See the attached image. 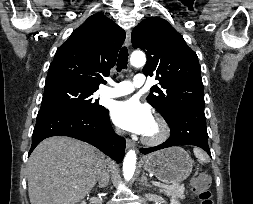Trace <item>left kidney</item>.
<instances>
[{
  "mask_svg": "<svg viewBox=\"0 0 253 204\" xmlns=\"http://www.w3.org/2000/svg\"><path fill=\"white\" fill-rule=\"evenodd\" d=\"M170 204H180V203L176 199L172 198Z\"/></svg>",
  "mask_w": 253,
  "mask_h": 204,
  "instance_id": "obj_1",
  "label": "left kidney"
}]
</instances>
